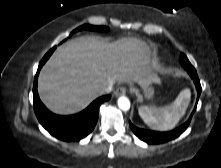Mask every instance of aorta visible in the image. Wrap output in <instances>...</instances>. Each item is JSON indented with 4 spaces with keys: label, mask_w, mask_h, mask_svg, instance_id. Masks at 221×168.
<instances>
[{
    "label": "aorta",
    "mask_w": 221,
    "mask_h": 168,
    "mask_svg": "<svg viewBox=\"0 0 221 168\" xmlns=\"http://www.w3.org/2000/svg\"><path fill=\"white\" fill-rule=\"evenodd\" d=\"M118 106L121 110L127 111L130 109V101L127 97L122 96L118 99Z\"/></svg>",
    "instance_id": "aorta-1"
}]
</instances>
